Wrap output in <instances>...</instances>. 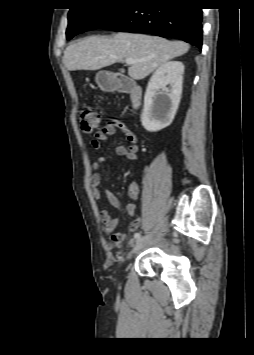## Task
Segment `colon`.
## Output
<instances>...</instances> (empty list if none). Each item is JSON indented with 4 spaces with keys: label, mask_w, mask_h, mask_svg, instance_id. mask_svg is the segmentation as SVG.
Returning <instances> with one entry per match:
<instances>
[{
    "label": "colon",
    "mask_w": 254,
    "mask_h": 355,
    "mask_svg": "<svg viewBox=\"0 0 254 355\" xmlns=\"http://www.w3.org/2000/svg\"><path fill=\"white\" fill-rule=\"evenodd\" d=\"M79 121L84 132H92L100 126V112L92 106H86L80 112Z\"/></svg>",
    "instance_id": "1"
}]
</instances>
